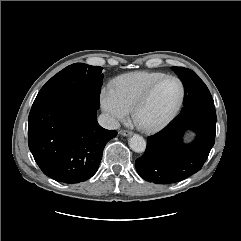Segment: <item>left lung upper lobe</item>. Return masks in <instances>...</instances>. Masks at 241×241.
<instances>
[{"mask_svg":"<svg viewBox=\"0 0 241 241\" xmlns=\"http://www.w3.org/2000/svg\"><path fill=\"white\" fill-rule=\"evenodd\" d=\"M184 85V101L181 111L203 105L214 104L212 96L204 82L192 70L183 67H172Z\"/></svg>","mask_w":241,"mask_h":241,"instance_id":"obj_1","label":"left lung upper lobe"}]
</instances>
